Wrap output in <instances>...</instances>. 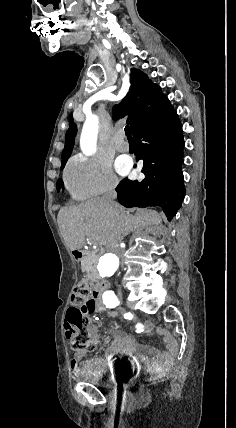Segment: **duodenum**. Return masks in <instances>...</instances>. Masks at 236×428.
Instances as JSON below:
<instances>
[{
    "instance_id": "1",
    "label": "duodenum",
    "mask_w": 236,
    "mask_h": 428,
    "mask_svg": "<svg viewBox=\"0 0 236 428\" xmlns=\"http://www.w3.org/2000/svg\"><path fill=\"white\" fill-rule=\"evenodd\" d=\"M73 256L75 260L80 264H82L85 260V253L82 250H79V249L74 250ZM107 288H108L107 285L104 283L95 285L91 291L93 298H95L98 301L103 299L104 294L107 292Z\"/></svg>"
}]
</instances>
